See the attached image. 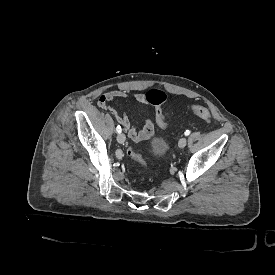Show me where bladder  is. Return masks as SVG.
Returning a JSON list of instances; mask_svg holds the SVG:
<instances>
[{
  "label": "bladder",
  "instance_id": "31cf9c89",
  "mask_svg": "<svg viewBox=\"0 0 275 275\" xmlns=\"http://www.w3.org/2000/svg\"><path fill=\"white\" fill-rule=\"evenodd\" d=\"M167 147L168 146L166 140L161 136H156L151 141V146L149 150L151 154L159 155L160 157H162L165 154Z\"/></svg>",
  "mask_w": 275,
  "mask_h": 275
}]
</instances>
